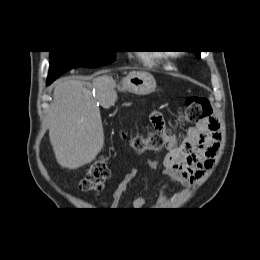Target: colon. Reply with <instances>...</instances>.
<instances>
[{
    "instance_id": "colon-1",
    "label": "colon",
    "mask_w": 260,
    "mask_h": 260,
    "mask_svg": "<svg viewBox=\"0 0 260 260\" xmlns=\"http://www.w3.org/2000/svg\"><path fill=\"white\" fill-rule=\"evenodd\" d=\"M212 118V107L205 97L193 96L186 100L185 108L174 124L195 123ZM172 134L165 130L153 129L146 135L135 134L130 137L131 148L138 154L146 151L160 152L167 148L169 137ZM110 178L108 161L105 157L96 159L87 169L80 182V188L84 191L99 192L104 183Z\"/></svg>"
}]
</instances>
